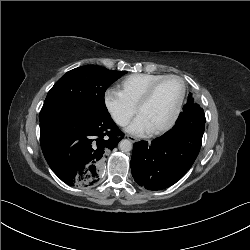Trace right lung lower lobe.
<instances>
[{
	"label": "right lung lower lobe",
	"instance_id": "right-lung-lower-lobe-1",
	"mask_svg": "<svg viewBox=\"0 0 250 250\" xmlns=\"http://www.w3.org/2000/svg\"><path fill=\"white\" fill-rule=\"evenodd\" d=\"M123 136L108 112L69 111L40 121L44 157L71 186L94 185L106 154Z\"/></svg>",
	"mask_w": 250,
	"mask_h": 250
}]
</instances>
